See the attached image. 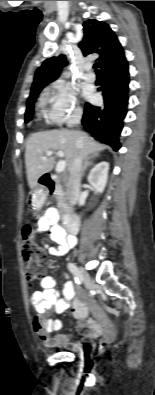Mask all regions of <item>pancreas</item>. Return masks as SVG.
<instances>
[{
  "mask_svg": "<svg viewBox=\"0 0 155 395\" xmlns=\"http://www.w3.org/2000/svg\"><path fill=\"white\" fill-rule=\"evenodd\" d=\"M54 195L57 199V207L66 212V192L64 191L62 185L59 183V180H56V190L54 192Z\"/></svg>",
  "mask_w": 155,
  "mask_h": 395,
  "instance_id": "obj_1",
  "label": "pancreas"
}]
</instances>
